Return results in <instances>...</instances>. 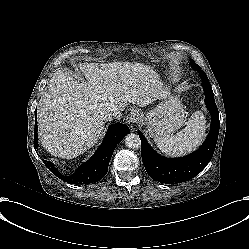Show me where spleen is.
Listing matches in <instances>:
<instances>
[{
    "instance_id": "3e777b00",
    "label": "spleen",
    "mask_w": 249,
    "mask_h": 249,
    "mask_svg": "<svg viewBox=\"0 0 249 249\" xmlns=\"http://www.w3.org/2000/svg\"><path fill=\"white\" fill-rule=\"evenodd\" d=\"M205 131V117L201 111H196L180 132L171 136L155 137L154 142L165 155L179 157L196 149L203 141Z\"/></svg>"
}]
</instances>
